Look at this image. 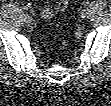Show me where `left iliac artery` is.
Masks as SVG:
<instances>
[{
    "instance_id": "left-iliac-artery-1",
    "label": "left iliac artery",
    "mask_w": 111,
    "mask_h": 106,
    "mask_svg": "<svg viewBox=\"0 0 111 106\" xmlns=\"http://www.w3.org/2000/svg\"><path fill=\"white\" fill-rule=\"evenodd\" d=\"M85 6H88L89 5V2H85V4H84Z\"/></svg>"
}]
</instances>
